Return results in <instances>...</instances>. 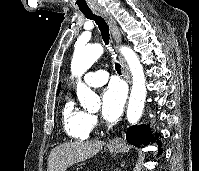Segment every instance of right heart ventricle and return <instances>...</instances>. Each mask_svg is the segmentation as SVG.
I'll list each match as a JSON object with an SVG mask.
<instances>
[{
	"label": "right heart ventricle",
	"mask_w": 199,
	"mask_h": 171,
	"mask_svg": "<svg viewBox=\"0 0 199 171\" xmlns=\"http://www.w3.org/2000/svg\"><path fill=\"white\" fill-rule=\"evenodd\" d=\"M62 120L65 133L73 139L85 140L92 131L90 114L79 109L71 97H67L62 108Z\"/></svg>",
	"instance_id": "1"
}]
</instances>
